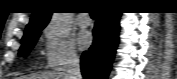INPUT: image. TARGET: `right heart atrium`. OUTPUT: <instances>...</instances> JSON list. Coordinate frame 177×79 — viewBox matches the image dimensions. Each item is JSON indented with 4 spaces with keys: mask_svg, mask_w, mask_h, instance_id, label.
Returning a JSON list of instances; mask_svg holds the SVG:
<instances>
[{
    "mask_svg": "<svg viewBox=\"0 0 177 79\" xmlns=\"http://www.w3.org/2000/svg\"><path fill=\"white\" fill-rule=\"evenodd\" d=\"M44 58L46 67L53 70H64L79 62V53L70 40L56 37L50 29L44 31Z\"/></svg>",
    "mask_w": 177,
    "mask_h": 79,
    "instance_id": "obj_1",
    "label": "right heart atrium"
}]
</instances>
